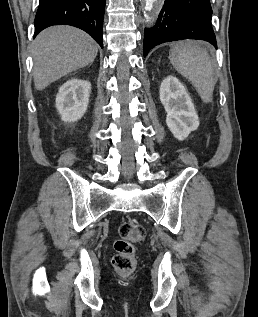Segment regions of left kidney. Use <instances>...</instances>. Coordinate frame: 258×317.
I'll return each mask as SVG.
<instances>
[{"instance_id":"1","label":"left kidney","mask_w":258,"mask_h":317,"mask_svg":"<svg viewBox=\"0 0 258 317\" xmlns=\"http://www.w3.org/2000/svg\"><path fill=\"white\" fill-rule=\"evenodd\" d=\"M160 100L167 112L166 124L178 140H184L199 126L198 114L184 84L176 76H166L160 86Z\"/></svg>"}]
</instances>
